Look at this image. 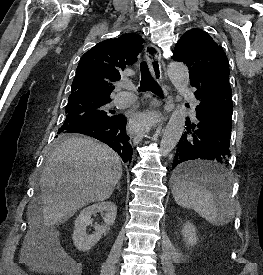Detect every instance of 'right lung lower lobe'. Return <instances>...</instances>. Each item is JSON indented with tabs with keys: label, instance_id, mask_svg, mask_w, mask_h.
I'll list each match as a JSON object with an SVG mask.
<instances>
[{
	"label": "right lung lower lobe",
	"instance_id": "right-lung-lower-lobe-1",
	"mask_svg": "<svg viewBox=\"0 0 263 275\" xmlns=\"http://www.w3.org/2000/svg\"><path fill=\"white\" fill-rule=\"evenodd\" d=\"M125 126V117L117 115L105 122L75 126L69 129L68 133H79L96 138L115 150L124 162H130L133 152Z\"/></svg>",
	"mask_w": 263,
	"mask_h": 275
}]
</instances>
